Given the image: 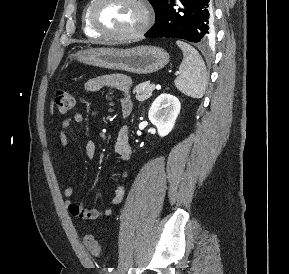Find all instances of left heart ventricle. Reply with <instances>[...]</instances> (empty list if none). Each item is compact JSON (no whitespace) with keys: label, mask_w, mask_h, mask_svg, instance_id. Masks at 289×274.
<instances>
[{"label":"left heart ventricle","mask_w":289,"mask_h":274,"mask_svg":"<svg viewBox=\"0 0 289 274\" xmlns=\"http://www.w3.org/2000/svg\"><path fill=\"white\" fill-rule=\"evenodd\" d=\"M95 18L104 30L124 34L140 26L142 13L132 0H105L97 6Z\"/></svg>","instance_id":"left-heart-ventricle-1"}]
</instances>
